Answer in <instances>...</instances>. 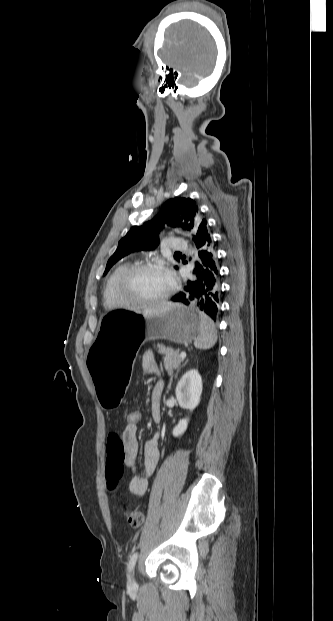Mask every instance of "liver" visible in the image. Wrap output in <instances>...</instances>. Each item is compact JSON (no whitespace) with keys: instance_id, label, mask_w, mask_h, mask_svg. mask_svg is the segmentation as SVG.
<instances>
[{"instance_id":"obj_1","label":"liver","mask_w":333,"mask_h":621,"mask_svg":"<svg viewBox=\"0 0 333 621\" xmlns=\"http://www.w3.org/2000/svg\"><path fill=\"white\" fill-rule=\"evenodd\" d=\"M173 305L174 304L171 302H162L159 304H155V305L149 306L148 308H145L142 311V314L145 317H152V316L160 315L170 310Z\"/></svg>"}]
</instances>
